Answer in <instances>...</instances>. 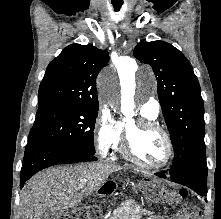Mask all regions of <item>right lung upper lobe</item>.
Here are the masks:
<instances>
[{
	"instance_id": "cb5924a9",
	"label": "right lung upper lobe",
	"mask_w": 221,
	"mask_h": 219,
	"mask_svg": "<svg viewBox=\"0 0 221 219\" xmlns=\"http://www.w3.org/2000/svg\"><path fill=\"white\" fill-rule=\"evenodd\" d=\"M109 55L93 45L71 44L47 67L39 87L38 104L67 102L99 105L96 78Z\"/></svg>"
}]
</instances>
